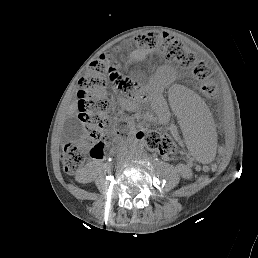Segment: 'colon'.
<instances>
[{
  "label": "colon",
  "mask_w": 258,
  "mask_h": 258,
  "mask_svg": "<svg viewBox=\"0 0 258 258\" xmlns=\"http://www.w3.org/2000/svg\"><path fill=\"white\" fill-rule=\"evenodd\" d=\"M135 44L143 49H163L168 58L177 61L185 67H192L195 78L201 83V92L208 98L217 95V87L211 79V71L204 63L197 60L192 51H185L182 44L174 37L157 32H145L135 38ZM115 53L107 51L93 61L86 75L81 78L78 91V103L81 120L86 128L88 141L93 144L90 151L103 155L111 143L104 139V131L110 126L106 115L109 101L106 89L109 83L116 85L125 95L131 94L135 82L122 75L114 66ZM144 144L151 150L160 154L171 155L177 151L175 141L157 131L141 132ZM89 151V152H90ZM85 159L84 149L77 144H68L63 152V165L68 173H75Z\"/></svg>",
  "instance_id": "1"
}]
</instances>
